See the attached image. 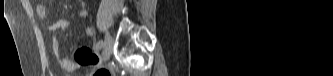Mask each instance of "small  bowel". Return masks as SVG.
Listing matches in <instances>:
<instances>
[{
	"label": "small bowel",
	"instance_id": "obj_1",
	"mask_svg": "<svg viewBox=\"0 0 333 76\" xmlns=\"http://www.w3.org/2000/svg\"><path fill=\"white\" fill-rule=\"evenodd\" d=\"M36 13L40 18H45L48 14V9L45 4L40 3L36 6ZM81 17L83 19L89 18V13L86 10L81 11ZM69 27V21L67 19H61L55 24L49 26L50 30L54 32L52 38V51L57 56L60 66L66 71H75L78 68L84 67L90 63L97 61V57L94 56V51L90 50L89 44H79L78 50L74 53L75 61L69 58H64L59 56L60 43L57 38V34L65 31ZM86 34L88 36L94 35V29L91 26L86 28Z\"/></svg>",
	"mask_w": 333,
	"mask_h": 76
}]
</instances>
